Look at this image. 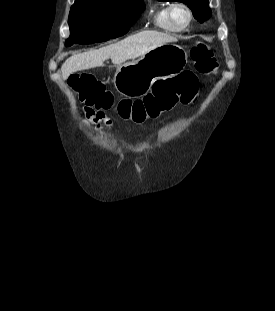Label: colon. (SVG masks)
Returning <instances> with one entry per match:
<instances>
[{
    "label": "colon",
    "mask_w": 275,
    "mask_h": 311,
    "mask_svg": "<svg viewBox=\"0 0 275 311\" xmlns=\"http://www.w3.org/2000/svg\"><path fill=\"white\" fill-rule=\"evenodd\" d=\"M191 58L197 71L201 74H211L218 67L213 50L204 43L193 46ZM68 82L77 92L79 101L89 108L104 110L110 109L115 104L112 94L105 85L96 81L90 74H73L69 77ZM197 90L196 75L191 72H183L176 77L155 83L152 91L143 99L118 101L116 108L125 118H131L135 122L145 119L156 121L162 112L171 109L178 103H192ZM141 127H144V124H141Z\"/></svg>",
    "instance_id": "colon-1"
}]
</instances>
